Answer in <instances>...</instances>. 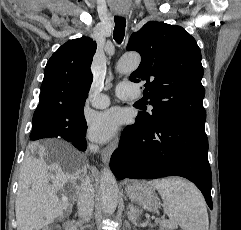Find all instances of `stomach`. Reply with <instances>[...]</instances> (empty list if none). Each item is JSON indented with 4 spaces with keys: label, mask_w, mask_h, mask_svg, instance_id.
Wrapping results in <instances>:
<instances>
[{
    "label": "stomach",
    "mask_w": 241,
    "mask_h": 230,
    "mask_svg": "<svg viewBox=\"0 0 241 230\" xmlns=\"http://www.w3.org/2000/svg\"><path fill=\"white\" fill-rule=\"evenodd\" d=\"M125 191L131 201L147 211L155 212L160 207L155 188L146 182L134 181L126 186Z\"/></svg>",
    "instance_id": "obj_1"
}]
</instances>
